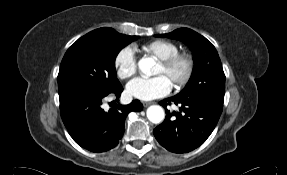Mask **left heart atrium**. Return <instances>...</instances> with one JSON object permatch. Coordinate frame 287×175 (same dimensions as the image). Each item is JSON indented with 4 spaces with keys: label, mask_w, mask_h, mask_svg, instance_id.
<instances>
[{
    "label": "left heart atrium",
    "mask_w": 287,
    "mask_h": 175,
    "mask_svg": "<svg viewBox=\"0 0 287 175\" xmlns=\"http://www.w3.org/2000/svg\"><path fill=\"white\" fill-rule=\"evenodd\" d=\"M171 88V81L165 75L160 74L151 78L133 79L127 85V92L134 98L147 101L166 96Z\"/></svg>",
    "instance_id": "39dd6f15"
}]
</instances>
